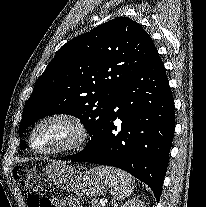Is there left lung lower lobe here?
Segmentation results:
<instances>
[{
	"label": "left lung lower lobe",
	"mask_w": 206,
	"mask_h": 207,
	"mask_svg": "<svg viewBox=\"0 0 206 207\" xmlns=\"http://www.w3.org/2000/svg\"><path fill=\"white\" fill-rule=\"evenodd\" d=\"M174 125L173 96L155 50L111 102L93 146L71 161L121 168L145 182L159 201Z\"/></svg>",
	"instance_id": "left-lung-lower-lobe-1"
}]
</instances>
